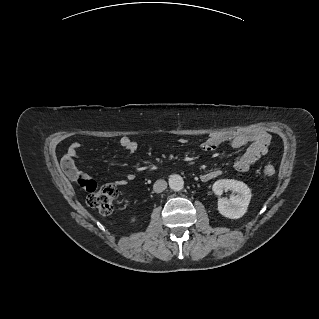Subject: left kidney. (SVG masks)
Returning a JSON list of instances; mask_svg holds the SVG:
<instances>
[{"mask_svg": "<svg viewBox=\"0 0 319 319\" xmlns=\"http://www.w3.org/2000/svg\"><path fill=\"white\" fill-rule=\"evenodd\" d=\"M212 190L217 196L228 190L236 193L229 199L224 197L218 199V211L221 215L230 219H239L246 213L251 200V190L245 183L233 179H221L213 184Z\"/></svg>", "mask_w": 319, "mask_h": 319, "instance_id": "left-kidney-1", "label": "left kidney"}]
</instances>
